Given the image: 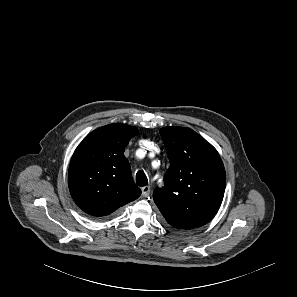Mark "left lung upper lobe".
I'll list each match as a JSON object with an SVG mask.
<instances>
[{
	"instance_id": "left-lung-upper-lobe-1",
	"label": "left lung upper lobe",
	"mask_w": 297,
	"mask_h": 297,
	"mask_svg": "<svg viewBox=\"0 0 297 297\" xmlns=\"http://www.w3.org/2000/svg\"><path fill=\"white\" fill-rule=\"evenodd\" d=\"M170 167L153 199L168 224L201 227L217 213L225 191V169L217 150L190 128L163 127Z\"/></svg>"
}]
</instances>
